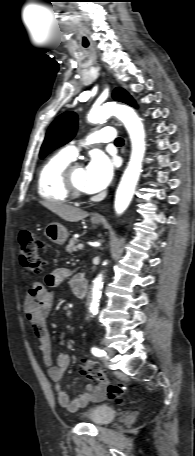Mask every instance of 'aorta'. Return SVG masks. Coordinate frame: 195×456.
I'll return each instance as SVG.
<instances>
[{"label": "aorta", "mask_w": 195, "mask_h": 456, "mask_svg": "<svg viewBox=\"0 0 195 456\" xmlns=\"http://www.w3.org/2000/svg\"><path fill=\"white\" fill-rule=\"evenodd\" d=\"M112 115L124 123L131 141L130 160L120 180L114 202L116 213L121 214L129 206L142 172V161L146 150L145 130L141 119L131 107L116 103H106L101 107L92 109L88 114V121L99 123ZM102 280L103 277L100 274L93 282L92 299L89 307L92 314L98 312L103 286Z\"/></svg>", "instance_id": "aorta-1"}]
</instances>
